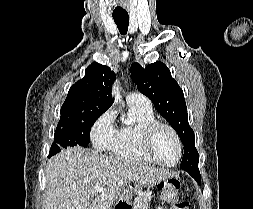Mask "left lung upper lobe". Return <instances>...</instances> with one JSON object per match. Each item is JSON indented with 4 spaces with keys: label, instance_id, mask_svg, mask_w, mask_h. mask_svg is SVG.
Masks as SVG:
<instances>
[{
    "label": "left lung upper lobe",
    "instance_id": "1",
    "mask_svg": "<svg viewBox=\"0 0 253 209\" xmlns=\"http://www.w3.org/2000/svg\"><path fill=\"white\" fill-rule=\"evenodd\" d=\"M131 77L138 90L152 100L157 111L178 133L184 145L180 167L189 174L195 173L199 170V154L195 148L194 132L188 123L183 91L169 69L162 62L149 64L146 68L133 63Z\"/></svg>",
    "mask_w": 253,
    "mask_h": 209
}]
</instances>
